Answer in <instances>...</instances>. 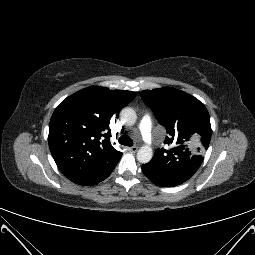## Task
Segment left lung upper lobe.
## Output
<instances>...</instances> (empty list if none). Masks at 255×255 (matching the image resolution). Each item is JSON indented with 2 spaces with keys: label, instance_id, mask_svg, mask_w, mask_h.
<instances>
[{
  "label": "left lung upper lobe",
  "instance_id": "left-lung-upper-lobe-1",
  "mask_svg": "<svg viewBox=\"0 0 255 255\" xmlns=\"http://www.w3.org/2000/svg\"><path fill=\"white\" fill-rule=\"evenodd\" d=\"M163 125L169 150L157 149L143 168L152 175L180 185L190 179L204 160L211 138L210 117L195 97L172 87L140 93Z\"/></svg>",
  "mask_w": 255,
  "mask_h": 255
}]
</instances>
